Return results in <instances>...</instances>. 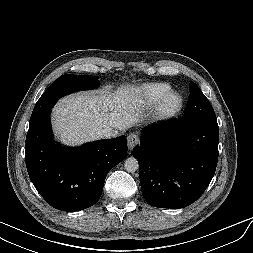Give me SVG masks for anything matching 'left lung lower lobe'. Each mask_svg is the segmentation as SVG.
<instances>
[{
	"mask_svg": "<svg viewBox=\"0 0 253 253\" xmlns=\"http://www.w3.org/2000/svg\"><path fill=\"white\" fill-rule=\"evenodd\" d=\"M216 118L172 121L141 132L133 149L139 163L142 194L160 208H184L211 182L218 161Z\"/></svg>",
	"mask_w": 253,
	"mask_h": 253,
	"instance_id": "obj_1",
	"label": "left lung lower lobe"
}]
</instances>
